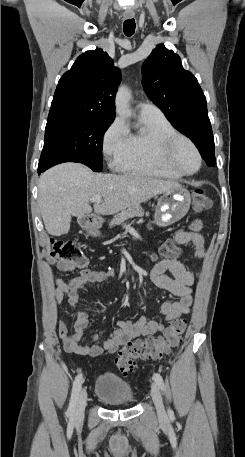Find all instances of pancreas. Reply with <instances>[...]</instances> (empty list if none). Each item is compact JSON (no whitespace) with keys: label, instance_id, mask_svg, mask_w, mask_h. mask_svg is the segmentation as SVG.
I'll return each mask as SVG.
<instances>
[{"label":"pancreas","instance_id":"obj_1","mask_svg":"<svg viewBox=\"0 0 245 457\" xmlns=\"http://www.w3.org/2000/svg\"><path fill=\"white\" fill-rule=\"evenodd\" d=\"M144 214H149V212H144L142 206L138 204H132V206H128V208H124L121 212H117L114 218L110 220L109 226H114V224H121L127 218H133V216H144Z\"/></svg>","mask_w":245,"mask_h":457}]
</instances>
